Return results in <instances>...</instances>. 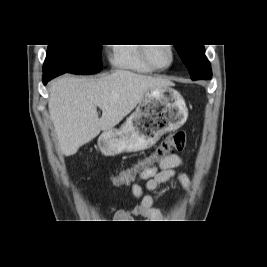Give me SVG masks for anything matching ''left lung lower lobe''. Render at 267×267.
Listing matches in <instances>:
<instances>
[{"label":"left lung lower lobe","mask_w":267,"mask_h":267,"mask_svg":"<svg viewBox=\"0 0 267 267\" xmlns=\"http://www.w3.org/2000/svg\"><path fill=\"white\" fill-rule=\"evenodd\" d=\"M211 77H207V78H204L205 80H208V79H210Z\"/></svg>","instance_id":"left-lung-lower-lobe-1"}]
</instances>
